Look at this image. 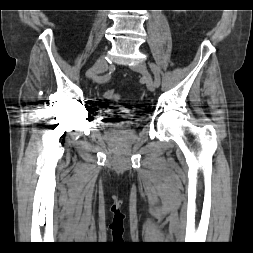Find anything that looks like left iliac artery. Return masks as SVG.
<instances>
[{"mask_svg":"<svg viewBox=\"0 0 253 253\" xmlns=\"http://www.w3.org/2000/svg\"><path fill=\"white\" fill-rule=\"evenodd\" d=\"M150 68L154 74V84L156 87H158L160 85V74H159V70L157 68V66L154 63H150Z\"/></svg>","mask_w":253,"mask_h":253,"instance_id":"left-iliac-artery-1","label":"left iliac artery"}]
</instances>
